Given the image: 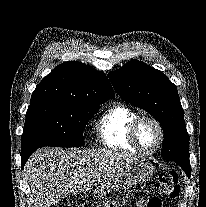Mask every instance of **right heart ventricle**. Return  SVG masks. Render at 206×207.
Listing matches in <instances>:
<instances>
[{
    "label": "right heart ventricle",
    "mask_w": 206,
    "mask_h": 207,
    "mask_svg": "<svg viewBox=\"0 0 206 207\" xmlns=\"http://www.w3.org/2000/svg\"><path fill=\"white\" fill-rule=\"evenodd\" d=\"M137 116L138 112L127 105L116 104L110 107L97 123L101 143L112 150L135 152L136 149L129 141L128 130Z\"/></svg>",
    "instance_id": "obj_1"
}]
</instances>
